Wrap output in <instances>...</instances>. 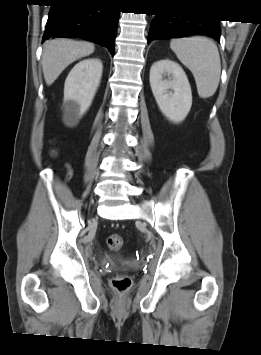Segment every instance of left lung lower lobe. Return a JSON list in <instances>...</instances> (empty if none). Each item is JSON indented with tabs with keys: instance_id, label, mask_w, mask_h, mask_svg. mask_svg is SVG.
<instances>
[{
	"instance_id": "obj_1",
	"label": "left lung lower lobe",
	"mask_w": 261,
	"mask_h": 355,
	"mask_svg": "<svg viewBox=\"0 0 261 355\" xmlns=\"http://www.w3.org/2000/svg\"><path fill=\"white\" fill-rule=\"evenodd\" d=\"M219 20L185 16L156 15L148 34V42L157 38H181L205 35L220 40Z\"/></svg>"
}]
</instances>
